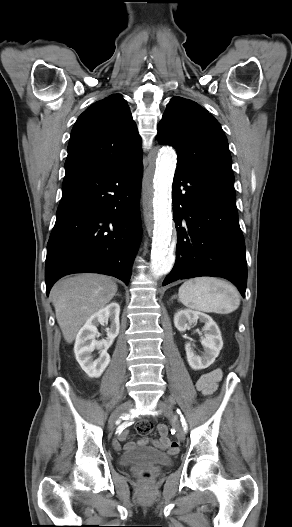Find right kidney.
Returning a JSON list of instances; mask_svg holds the SVG:
<instances>
[{"mask_svg": "<svg viewBox=\"0 0 292 527\" xmlns=\"http://www.w3.org/2000/svg\"><path fill=\"white\" fill-rule=\"evenodd\" d=\"M119 314V304L110 303L94 313L77 334L74 353L76 360L89 377H100L110 362L107 350L119 334ZM108 321L111 322V325L110 328L106 329L107 338L100 341L95 340L98 333L97 326L108 323ZM95 349L99 350L100 354L97 359L92 356Z\"/></svg>", "mask_w": 292, "mask_h": 527, "instance_id": "1", "label": "right kidney"}]
</instances>
